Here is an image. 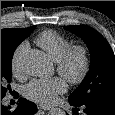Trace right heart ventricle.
Instances as JSON below:
<instances>
[{"instance_id": "obj_1", "label": "right heart ventricle", "mask_w": 115, "mask_h": 115, "mask_svg": "<svg viewBox=\"0 0 115 115\" xmlns=\"http://www.w3.org/2000/svg\"><path fill=\"white\" fill-rule=\"evenodd\" d=\"M36 43L54 62H57L71 46L68 38L54 30H46L40 33L36 38Z\"/></svg>"}]
</instances>
